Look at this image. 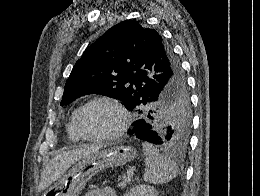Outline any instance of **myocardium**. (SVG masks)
Returning <instances> with one entry per match:
<instances>
[{"label": "myocardium", "instance_id": "myocardium-1", "mask_svg": "<svg viewBox=\"0 0 260 196\" xmlns=\"http://www.w3.org/2000/svg\"><path fill=\"white\" fill-rule=\"evenodd\" d=\"M97 102H104L109 105H112L116 110L118 111L120 118H121V123L117 129H115L113 132H110L105 135L101 136H92L88 135L85 133L83 128L81 127L80 124V117L82 112L89 107L91 104L97 103ZM74 124L79 132L81 138L86 141L90 142H96V143H103V142H108L111 140H114L116 138L121 137L128 129L130 125V116L128 114L127 109L125 106L115 97L109 96V95H97L92 98H90L88 101H86L84 104H82L78 110L76 111L75 118H74Z\"/></svg>", "mask_w": 260, "mask_h": 196}]
</instances>
